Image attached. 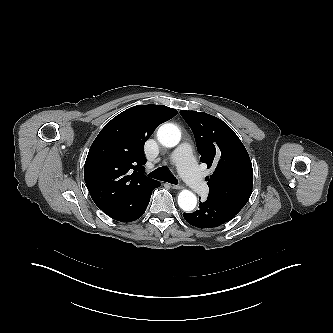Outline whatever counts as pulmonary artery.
Returning <instances> with one entry per match:
<instances>
[{"mask_svg": "<svg viewBox=\"0 0 333 333\" xmlns=\"http://www.w3.org/2000/svg\"><path fill=\"white\" fill-rule=\"evenodd\" d=\"M171 159L177 165L182 177L193 191L200 195L207 193V184L197 168L190 145L186 143L181 144L172 153Z\"/></svg>", "mask_w": 333, "mask_h": 333, "instance_id": "obj_1", "label": "pulmonary artery"}]
</instances>
